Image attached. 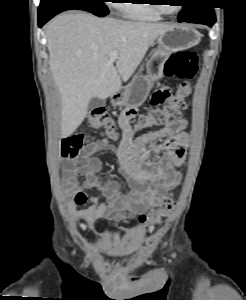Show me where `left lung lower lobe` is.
<instances>
[{
	"instance_id": "0a47b994",
	"label": "left lung lower lobe",
	"mask_w": 246,
	"mask_h": 300,
	"mask_svg": "<svg viewBox=\"0 0 246 300\" xmlns=\"http://www.w3.org/2000/svg\"><path fill=\"white\" fill-rule=\"evenodd\" d=\"M215 12L212 9L206 10L197 15L178 20L179 22H189V23H197V24H205L208 26H212L215 23Z\"/></svg>"
}]
</instances>
